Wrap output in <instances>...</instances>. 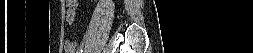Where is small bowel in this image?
Listing matches in <instances>:
<instances>
[{"instance_id":"obj_1","label":"small bowel","mask_w":253,"mask_h":53,"mask_svg":"<svg viewBox=\"0 0 253 53\" xmlns=\"http://www.w3.org/2000/svg\"><path fill=\"white\" fill-rule=\"evenodd\" d=\"M76 2H77L76 0L68 1L70 7L68 10L67 21L69 23H71L75 18V8L74 7L76 6ZM64 48H65V51L68 53H80L78 45L74 41L67 40L64 44Z\"/></svg>"}]
</instances>
